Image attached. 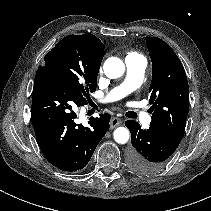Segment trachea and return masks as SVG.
Returning <instances> with one entry per match:
<instances>
[{
    "instance_id": "trachea-1",
    "label": "trachea",
    "mask_w": 211,
    "mask_h": 211,
    "mask_svg": "<svg viewBox=\"0 0 211 211\" xmlns=\"http://www.w3.org/2000/svg\"><path fill=\"white\" fill-rule=\"evenodd\" d=\"M127 117L129 118H137V114L133 111H129L127 114H126Z\"/></svg>"
}]
</instances>
